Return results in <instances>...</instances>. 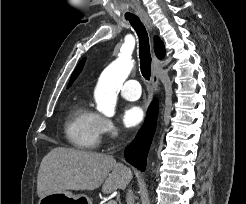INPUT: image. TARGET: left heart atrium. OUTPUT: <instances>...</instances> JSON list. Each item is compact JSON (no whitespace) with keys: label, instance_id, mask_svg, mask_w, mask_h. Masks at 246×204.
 <instances>
[{"label":"left heart atrium","instance_id":"39dd6f15","mask_svg":"<svg viewBox=\"0 0 246 204\" xmlns=\"http://www.w3.org/2000/svg\"><path fill=\"white\" fill-rule=\"evenodd\" d=\"M144 118V111L138 105L127 106L122 114V122L124 126L133 128L139 125Z\"/></svg>","mask_w":246,"mask_h":204}]
</instances>
